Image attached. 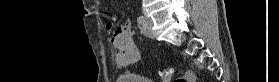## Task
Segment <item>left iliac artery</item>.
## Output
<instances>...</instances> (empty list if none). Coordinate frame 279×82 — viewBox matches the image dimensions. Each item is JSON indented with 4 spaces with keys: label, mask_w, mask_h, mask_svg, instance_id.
Instances as JSON below:
<instances>
[{
    "label": "left iliac artery",
    "mask_w": 279,
    "mask_h": 82,
    "mask_svg": "<svg viewBox=\"0 0 279 82\" xmlns=\"http://www.w3.org/2000/svg\"><path fill=\"white\" fill-rule=\"evenodd\" d=\"M144 20H145L144 17L141 16V15L137 17V21H138L139 23H142Z\"/></svg>",
    "instance_id": "left-iliac-artery-1"
}]
</instances>
